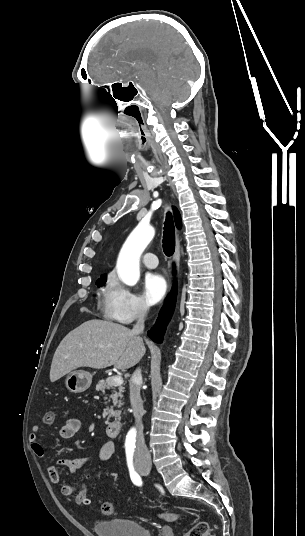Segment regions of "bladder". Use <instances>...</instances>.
Listing matches in <instances>:
<instances>
[{
    "label": "bladder",
    "instance_id": "bladder-1",
    "mask_svg": "<svg viewBox=\"0 0 305 536\" xmlns=\"http://www.w3.org/2000/svg\"><path fill=\"white\" fill-rule=\"evenodd\" d=\"M92 529L96 536H152L139 521L123 517L94 520Z\"/></svg>",
    "mask_w": 305,
    "mask_h": 536
}]
</instances>
